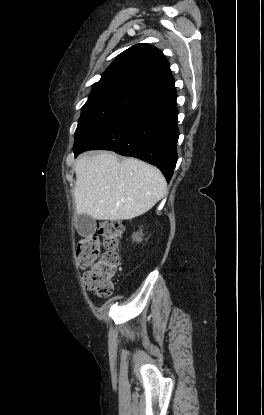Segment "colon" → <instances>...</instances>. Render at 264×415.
<instances>
[{
    "instance_id": "1",
    "label": "colon",
    "mask_w": 264,
    "mask_h": 415,
    "mask_svg": "<svg viewBox=\"0 0 264 415\" xmlns=\"http://www.w3.org/2000/svg\"><path fill=\"white\" fill-rule=\"evenodd\" d=\"M123 232V223L106 221L77 245L76 261L77 267L83 270V287L98 297H108L112 293L113 280L119 270L116 250ZM100 238L105 249L102 255H99Z\"/></svg>"
}]
</instances>
